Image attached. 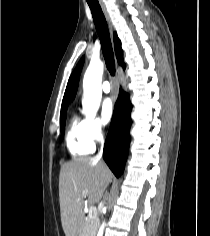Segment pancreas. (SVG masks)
I'll use <instances>...</instances> for the list:
<instances>
[{
	"label": "pancreas",
	"mask_w": 210,
	"mask_h": 236,
	"mask_svg": "<svg viewBox=\"0 0 210 236\" xmlns=\"http://www.w3.org/2000/svg\"><path fill=\"white\" fill-rule=\"evenodd\" d=\"M98 229V218L89 217L85 222L82 236H95Z\"/></svg>",
	"instance_id": "pancreas-1"
}]
</instances>
